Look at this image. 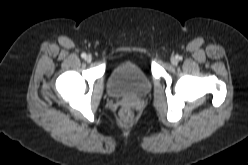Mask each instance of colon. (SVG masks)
Wrapping results in <instances>:
<instances>
[{
    "label": "colon",
    "instance_id": "colon-1",
    "mask_svg": "<svg viewBox=\"0 0 248 165\" xmlns=\"http://www.w3.org/2000/svg\"><path fill=\"white\" fill-rule=\"evenodd\" d=\"M121 118L125 121H131L133 118V113L129 109H123L121 111Z\"/></svg>",
    "mask_w": 248,
    "mask_h": 165
}]
</instances>
